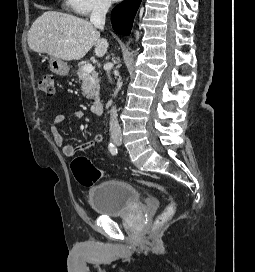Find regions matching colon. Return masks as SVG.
Masks as SVG:
<instances>
[{"instance_id":"obj_1","label":"colon","mask_w":255,"mask_h":272,"mask_svg":"<svg viewBox=\"0 0 255 272\" xmlns=\"http://www.w3.org/2000/svg\"><path fill=\"white\" fill-rule=\"evenodd\" d=\"M39 90L47 96H52L54 94V77L51 74L42 77L39 82ZM71 169L76 180L86 187L95 183L103 174L92 164L90 159L85 156L75 158L71 163ZM136 181L141 185L158 189L167 196V203L154 223L157 228L166 225L176 212V202L171 191L159 182L145 179H137Z\"/></svg>"}]
</instances>
